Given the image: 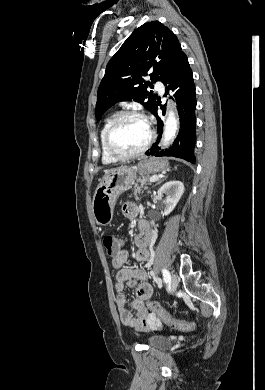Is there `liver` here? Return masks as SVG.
<instances>
[{
  "label": "liver",
  "mask_w": 265,
  "mask_h": 390,
  "mask_svg": "<svg viewBox=\"0 0 265 390\" xmlns=\"http://www.w3.org/2000/svg\"><path fill=\"white\" fill-rule=\"evenodd\" d=\"M113 170H115V169L106 170V171H105V174L107 175L109 172H111V171H113Z\"/></svg>",
  "instance_id": "liver-1"
}]
</instances>
